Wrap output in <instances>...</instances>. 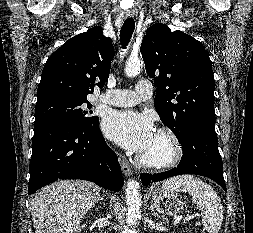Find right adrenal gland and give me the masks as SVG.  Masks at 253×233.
<instances>
[{
    "instance_id": "obj_1",
    "label": "right adrenal gland",
    "mask_w": 253,
    "mask_h": 233,
    "mask_svg": "<svg viewBox=\"0 0 253 233\" xmlns=\"http://www.w3.org/2000/svg\"><path fill=\"white\" fill-rule=\"evenodd\" d=\"M103 200H104V198L99 196V198L95 201L93 206L95 207L99 202H102Z\"/></svg>"
}]
</instances>
